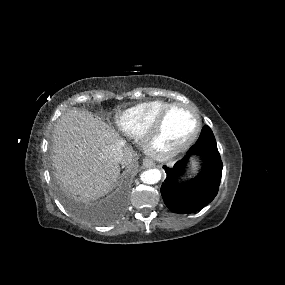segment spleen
<instances>
[{"mask_svg":"<svg viewBox=\"0 0 285 285\" xmlns=\"http://www.w3.org/2000/svg\"><path fill=\"white\" fill-rule=\"evenodd\" d=\"M194 167H196V165H195V164H193L192 168L194 169Z\"/></svg>","mask_w":285,"mask_h":285,"instance_id":"spleen-1","label":"spleen"}]
</instances>
